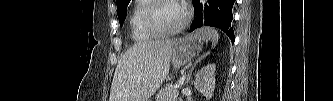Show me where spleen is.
<instances>
[{
	"mask_svg": "<svg viewBox=\"0 0 333 101\" xmlns=\"http://www.w3.org/2000/svg\"><path fill=\"white\" fill-rule=\"evenodd\" d=\"M196 33L198 35H200L203 40L212 41V47H214L219 40V33L214 28L207 27V28L198 30Z\"/></svg>",
	"mask_w": 333,
	"mask_h": 101,
	"instance_id": "obj_1",
	"label": "spleen"
}]
</instances>
